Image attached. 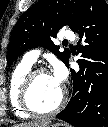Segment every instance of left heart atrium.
<instances>
[{
	"label": "left heart atrium",
	"instance_id": "39dd6f15",
	"mask_svg": "<svg viewBox=\"0 0 108 127\" xmlns=\"http://www.w3.org/2000/svg\"><path fill=\"white\" fill-rule=\"evenodd\" d=\"M52 77L54 79V81L60 86L62 87L64 84V81L66 79V71L63 67L58 66L55 68Z\"/></svg>",
	"mask_w": 108,
	"mask_h": 127
}]
</instances>
